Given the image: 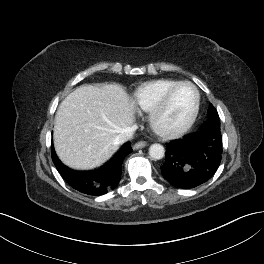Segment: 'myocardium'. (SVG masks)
<instances>
[{
    "instance_id": "myocardium-1",
    "label": "myocardium",
    "mask_w": 264,
    "mask_h": 264,
    "mask_svg": "<svg viewBox=\"0 0 264 264\" xmlns=\"http://www.w3.org/2000/svg\"><path fill=\"white\" fill-rule=\"evenodd\" d=\"M183 85L190 86L195 94L194 105L191 110V113L183 124L174 128H165L159 124V117L166 109L172 94L175 92L177 88ZM200 103H201V96L198 87L191 81H187V80L178 81L166 90V92L159 100V102L149 112V116H148L149 126L160 137L167 139L177 138L183 135L184 133H186L195 123L199 114Z\"/></svg>"
}]
</instances>
